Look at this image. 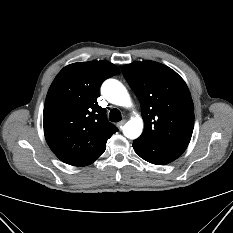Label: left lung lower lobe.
Here are the masks:
<instances>
[{
    "label": "left lung lower lobe",
    "instance_id": "1",
    "mask_svg": "<svg viewBox=\"0 0 233 233\" xmlns=\"http://www.w3.org/2000/svg\"><path fill=\"white\" fill-rule=\"evenodd\" d=\"M135 152L147 162L166 165L177 159L187 148L181 145L160 144L136 139L133 142Z\"/></svg>",
    "mask_w": 233,
    "mask_h": 233
}]
</instances>
